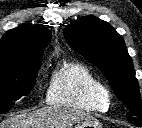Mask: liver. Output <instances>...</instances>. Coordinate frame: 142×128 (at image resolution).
I'll list each match as a JSON object with an SVG mask.
<instances>
[{
	"label": "liver",
	"mask_w": 142,
	"mask_h": 128,
	"mask_svg": "<svg viewBox=\"0 0 142 128\" xmlns=\"http://www.w3.org/2000/svg\"><path fill=\"white\" fill-rule=\"evenodd\" d=\"M88 118L92 117L83 111L48 107L8 118L0 128H70Z\"/></svg>",
	"instance_id": "1"
}]
</instances>
